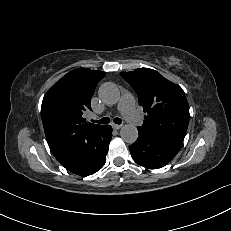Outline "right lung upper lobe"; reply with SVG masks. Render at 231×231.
<instances>
[{"instance_id":"1","label":"right lung upper lobe","mask_w":231,"mask_h":231,"mask_svg":"<svg viewBox=\"0 0 231 231\" xmlns=\"http://www.w3.org/2000/svg\"><path fill=\"white\" fill-rule=\"evenodd\" d=\"M105 72L77 68L67 73L46 93L42 102V122L56 159L72 153L78 138L102 125L82 117L91 110V98Z\"/></svg>"}]
</instances>
